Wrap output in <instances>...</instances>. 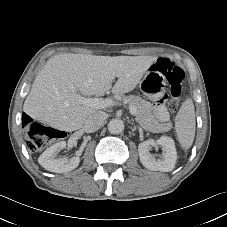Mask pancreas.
<instances>
[{
	"mask_svg": "<svg viewBox=\"0 0 227 227\" xmlns=\"http://www.w3.org/2000/svg\"><path fill=\"white\" fill-rule=\"evenodd\" d=\"M122 101L124 104H128L129 106H134L136 108L137 113L135 120L143 129L153 133L168 132L171 130V122L159 123L153 118L150 113V104L146 100L140 98L139 96L130 95L123 96Z\"/></svg>",
	"mask_w": 227,
	"mask_h": 227,
	"instance_id": "cf45deb5",
	"label": "pancreas"
}]
</instances>
